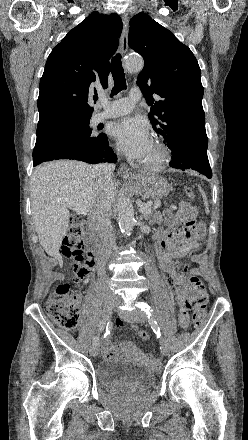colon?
Instances as JSON below:
<instances>
[{"mask_svg": "<svg viewBox=\"0 0 248 440\" xmlns=\"http://www.w3.org/2000/svg\"><path fill=\"white\" fill-rule=\"evenodd\" d=\"M185 193L189 198V201L186 203L189 219L191 223L196 225V208L193 204L194 191L188 187ZM62 254L67 260L69 267L74 271L77 283L83 281L94 267L92 257L85 250L82 228L74 217L71 218L67 235L62 243ZM191 284L196 289V299L194 301V314L189 322V326L198 327L205 317L207 295L204 285L199 278L193 277ZM79 300L78 293L71 291L69 285H59L46 302V314L58 327L67 330L74 329L79 321ZM138 334L142 340L149 339V333L145 330L139 331Z\"/></svg>", "mask_w": 248, "mask_h": 440, "instance_id": "5ec220e1", "label": "colon"}]
</instances>
